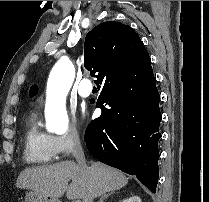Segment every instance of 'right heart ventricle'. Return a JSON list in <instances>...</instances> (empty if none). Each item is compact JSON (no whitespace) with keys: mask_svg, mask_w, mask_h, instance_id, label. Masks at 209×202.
<instances>
[{"mask_svg":"<svg viewBox=\"0 0 209 202\" xmlns=\"http://www.w3.org/2000/svg\"><path fill=\"white\" fill-rule=\"evenodd\" d=\"M58 153L52 137L39 129L36 119H32L24 133V159L27 163L46 164L55 161Z\"/></svg>","mask_w":209,"mask_h":202,"instance_id":"1","label":"right heart ventricle"}]
</instances>
